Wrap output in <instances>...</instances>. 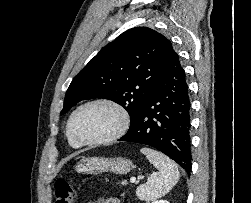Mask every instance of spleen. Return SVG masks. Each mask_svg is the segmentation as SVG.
I'll use <instances>...</instances> for the list:
<instances>
[{
  "mask_svg": "<svg viewBox=\"0 0 251 203\" xmlns=\"http://www.w3.org/2000/svg\"><path fill=\"white\" fill-rule=\"evenodd\" d=\"M140 151L158 169L136 190L138 198L149 203L167 194L178 182L180 174L177 165L161 152L147 147Z\"/></svg>",
  "mask_w": 251,
  "mask_h": 203,
  "instance_id": "3e777b00",
  "label": "spleen"
}]
</instances>
